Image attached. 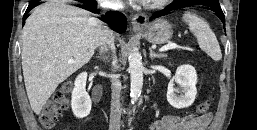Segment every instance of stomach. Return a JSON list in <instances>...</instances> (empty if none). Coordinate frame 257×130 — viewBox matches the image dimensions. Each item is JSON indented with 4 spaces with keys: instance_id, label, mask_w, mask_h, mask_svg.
I'll return each mask as SVG.
<instances>
[{
    "instance_id": "stomach-1",
    "label": "stomach",
    "mask_w": 257,
    "mask_h": 130,
    "mask_svg": "<svg viewBox=\"0 0 257 130\" xmlns=\"http://www.w3.org/2000/svg\"><path fill=\"white\" fill-rule=\"evenodd\" d=\"M144 38L153 44H164L173 35L172 25L164 19H158L142 28Z\"/></svg>"
}]
</instances>
